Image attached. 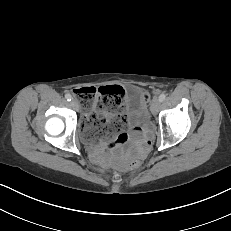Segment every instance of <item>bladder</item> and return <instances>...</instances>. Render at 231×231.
<instances>
[{"label": "bladder", "instance_id": "bladder-1", "mask_svg": "<svg viewBox=\"0 0 231 231\" xmlns=\"http://www.w3.org/2000/svg\"><path fill=\"white\" fill-rule=\"evenodd\" d=\"M124 102L130 116L140 123H146L148 121V102L145 92L140 86H130L125 93ZM77 134L84 144H90L97 140L95 130L87 123H83L78 127Z\"/></svg>", "mask_w": 231, "mask_h": 231}]
</instances>
